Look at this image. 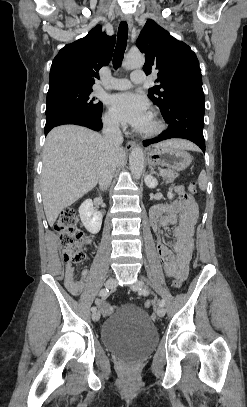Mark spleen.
<instances>
[{
    "label": "spleen",
    "instance_id": "spleen-1",
    "mask_svg": "<svg viewBox=\"0 0 247 407\" xmlns=\"http://www.w3.org/2000/svg\"><path fill=\"white\" fill-rule=\"evenodd\" d=\"M198 184L199 188L201 190H206L207 188V177H206V172L204 170L201 171L199 177H198Z\"/></svg>",
    "mask_w": 247,
    "mask_h": 407
}]
</instances>
